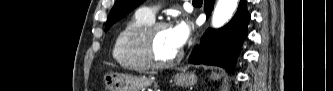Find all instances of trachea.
Wrapping results in <instances>:
<instances>
[{
	"label": "trachea",
	"instance_id": "obj_1",
	"mask_svg": "<svg viewBox=\"0 0 333 91\" xmlns=\"http://www.w3.org/2000/svg\"><path fill=\"white\" fill-rule=\"evenodd\" d=\"M193 2H199V3H201L203 1L202 0H193Z\"/></svg>",
	"mask_w": 333,
	"mask_h": 91
}]
</instances>
